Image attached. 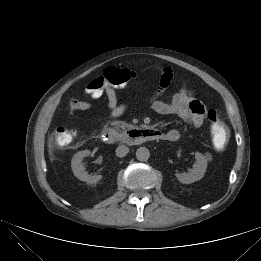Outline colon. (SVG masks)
Returning a JSON list of instances; mask_svg holds the SVG:
<instances>
[{
    "label": "colon",
    "instance_id": "colon-1",
    "mask_svg": "<svg viewBox=\"0 0 261 261\" xmlns=\"http://www.w3.org/2000/svg\"><path fill=\"white\" fill-rule=\"evenodd\" d=\"M134 77L135 73L129 69L109 67L105 69L103 75L96 77L87 85L86 92L93 98H99L107 85L115 87L125 86ZM207 117L210 122L213 144L217 149L222 150L226 147L229 140L228 128L215 109H210L207 112ZM74 137V130L57 127L50 137V142L58 146H64L71 143Z\"/></svg>",
    "mask_w": 261,
    "mask_h": 261
}]
</instances>
